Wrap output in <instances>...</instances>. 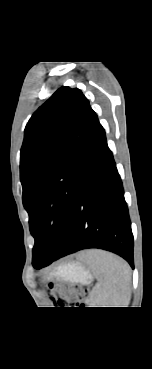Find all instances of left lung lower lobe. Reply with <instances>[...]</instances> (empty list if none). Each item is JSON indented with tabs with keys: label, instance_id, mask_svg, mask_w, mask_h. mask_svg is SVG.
Returning <instances> with one entry per match:
<instances>
[{
	"label": "left lung lower lobe",
	"instance_id": "obj_1",
	"mask_svg": "<svg viewBox=\"0 0 152 369\" xmlns=\"http://www.w3.org/2000/svg\"><path fill=\"white\" fill-rule=\"evenodd\" d=\"M84 167L63 243L54 257L42 261L36 269L87 248L114 252L134 268L133 235L122 181L100 123L86 152Z\"/></svg>",
	"mask_w": 152,
	"mask_h": 369
}]
</instances>
